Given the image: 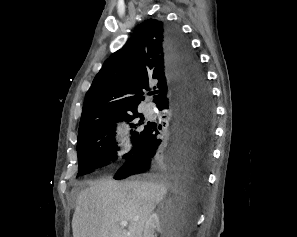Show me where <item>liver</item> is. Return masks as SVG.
I'll list each match as a JSON object with an SVG mask.
<instances>
[{
    "instance_id": "obj_1",
    "label": "liver",
    "mask_w": 297,
    "mask_h": 237,
    "mask_svg": "<svg viewBox=\"0 0 297 237\" xmlns=\"http://www.w3.org/2000/svg\"><path fill=\"white\" fill-rule=\"evenodd\" d=\"M167 190L164 181L154 179L92 182L77 197L73 237H142L147 219ZM122 221L129 222L128 229L120 226Z\"/></svg>"
}]
</instances>
